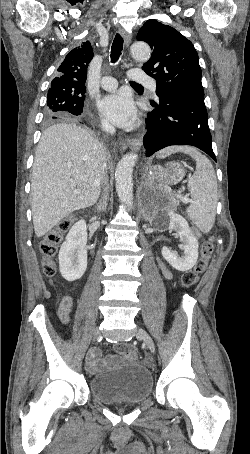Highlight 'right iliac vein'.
Instances as JSON below:
<instances>
[{"label": "right iliac vein", "mask_w": 250, "mask_h": 454, "mask_svg": "<svg viewBox=\"0 0 250 454\" xmlns=\"http://www.w3.org/2000/svg\"><path fill=\"white\" fill-rule=\"evenodd\" d=\"M100 337V330L96 328L93 333V342L96 341Z\"/></svg>", "instance_id": "right-iliac-vein-1"}]
</instances>
